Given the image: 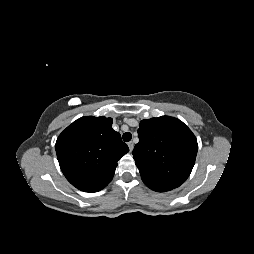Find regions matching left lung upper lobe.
<instances>
[{
    "label": "left lung upper lobe",
    "mask_w": 254,
    "mask_h": 254,
    "mask_svg": "<svg viewBox=\"0 0 254 254\" xmlns=\"http://www.w3.org/2000/svg\"><path fill=\"white\" fill-rule=\"evenodd\" d=\"M132 154L143 182L180 186L190 175L198 145L191 130L169 116L145 119Z\"/></svg>",
    "instance_id": "left-lung-upper-lobe-1"
}]
</instances>
